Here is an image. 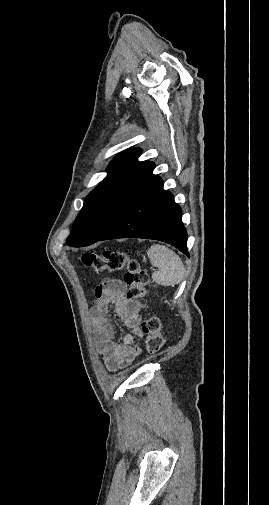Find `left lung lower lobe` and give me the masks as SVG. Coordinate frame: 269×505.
Instances as JSON below:
<instances>
[{
	"label": "left lung lower lobe",
	"instance_id": "1",
	"mask_svg": "<svg viewBox=\"0 0 269 505\" xmlns=\"http://www.w3.org/2000/svg\"><path fill=\"white\" fill-rule=\"evenodd\" d=\"M149 162L132 197L111 228L98 240L145 238L166 242L189 256L187 233L181 220V208L172 194L163 189V181L153 175Z\"/></svg>",
	"mask_w": 269,
	"mask_h": 505
}]
</instances>
